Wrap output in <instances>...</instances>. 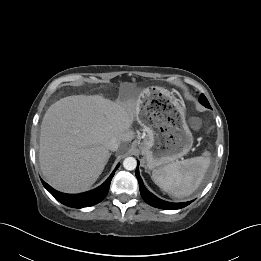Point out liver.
<instances>
[{
	"label": "liver",
	"instance_id": "obj_1",
	"mask_svg": "<svg viewBox=\"0 0 261 261\" xmlns=\"http://www.w3.org/2000/svg\"><path fill=\"white\" fill-rule=\"evenodd\" d=\"M139 99L113 102L99 95L62 98L46 111L40 132L39 162L55 189L78 193L89 189L109 159L107 142H129Z\"/></svg>",
	"mask_w": 261,
	"mask_h": 261
}]
</instances>
